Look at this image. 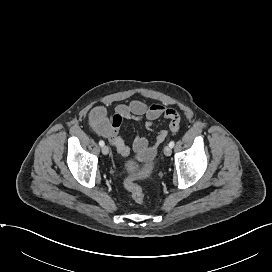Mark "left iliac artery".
<instances>
[{
    "label": "left iliac artery",
    "mask_w": 272,
    "mask_h": 272,
    "mask_svg": "<svg viewBox=\"0 0 272 272\" xmlns=\"http://www.w3.org/2000/svg\"><path fill=\"white\" fill-rule=\"evenodd\" d=\"M174 145H175V142H174V141H171V142L169 143V146H170L171 148H173Z\"/></svg>",
    "instance_id": "left-iliac-artery-1"
}]
</instances>
